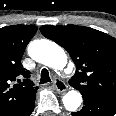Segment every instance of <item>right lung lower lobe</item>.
<instances>
[{"label": "right lung lower lobe", "mask_w": 116, "mask_h": 116, "mask_svg": "<svg viewBox=\"0 0 116 116\" xmlns=\"http://www.w3.org/2000/svg\"><path fill=\"white\" fill-rule=\"evenodd\" d=\"M34 107H35V103L22 116H29L34 110Z\"/></svg>", "instance_id": "obj_1"}]
</instances>
